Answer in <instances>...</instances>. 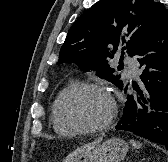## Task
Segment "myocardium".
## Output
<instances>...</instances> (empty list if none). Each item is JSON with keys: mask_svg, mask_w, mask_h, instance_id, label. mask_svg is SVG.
Listing matches in <instances>:
<instances>
[{"mask_svg": "<svg viewBox=\"0 0 168 162\" xmlns=\"http://www.w3.org/2000/svg\"><path fill=\"white\" fill-rule=\"evenodd\" d=\"M85 89H90V90H95L98 92H101L105 94L111 101L112 104V110L109 115V117L101 124L98 125H84L82 123H79L72 118L68 116L66 113V102L68 98L73 95L74 93L80 91V90H85ZM57 112L60 120L69 128L77 131V132H84V133H94V132H102L107 130L114 122L116 119L117 113H118V106L111 95V93L103 86L92 83V82H78L74 83L71 86H69L60 96L57 104Z\"/></svg>", "mask_w": 168, "mask_h": 162, "instance_id": "f54148a6", "label": "myocardium"}]
</instances>
